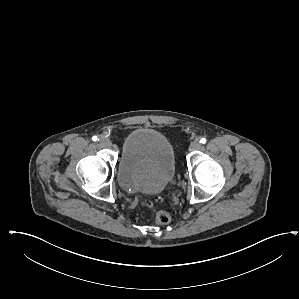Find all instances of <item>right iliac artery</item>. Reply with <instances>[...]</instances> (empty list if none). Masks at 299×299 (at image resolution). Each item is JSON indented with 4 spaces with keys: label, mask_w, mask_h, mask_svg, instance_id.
Returning <instances> with one entry per match:
<instances>
[{
    "label": "right iliac artery",
    "mask_w": 299,
    "mask_h": 299,
    "mask_svg": "<svg viewBox=\"0 0 299 299\" xmlns=\"http://www.w3.org/2000/svg\"><path fill=\"white\" fill-rule=\"evenodd\" d=\"M92 140H93V141H97V140H99V139H98L97 136H93V137H92Z\"/></svg>",
    "instance_id": "82829eb1"
}]
</instances>
